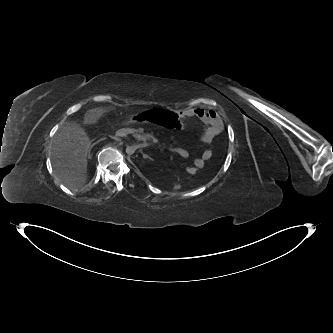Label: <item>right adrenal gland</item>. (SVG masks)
Listing matches in <instances>:
<instances>
[{"label":"right adrenal gland","mask_w":333,"mask_h":333,"mask_svg":"<svg viewBox=\"0 0 333 333\" xmlns=\"http://www.w3.org/2000/svg\"><path fill=\"white\" fill-rule=\"evenodd\" d=\"M93 146H94V144L91 145V147H90V149H89V151H88V158L91 156V149H92Z\"/></svg>","instance_id":"right-adrenal-gland-1"}]
</instances>
